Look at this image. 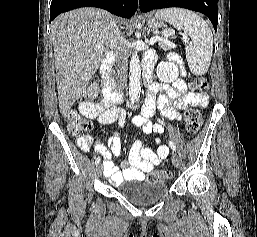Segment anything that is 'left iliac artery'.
Instances as JSON below:
<instances>
[{
	"label": "left iliac artery",
	"instance_id": "1",
	"mask_svg": "<svg viewBox=\"0 0 257 237\" xmlns=\"http://www.w3.org/2000/svg\"><path fill=\"white\" fill-rule=\"evenodd\" d=\"M169 146L173 151H176V147L174 145V143L171 140H168Z\"/></svg>",
	"mask_w": 257,
	"mask_h": 237
}]
</instances>
